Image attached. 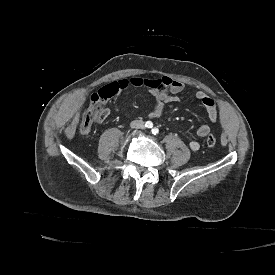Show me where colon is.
<instances>
[{
	"label": "colon",
	"instance_id": "colon-1",
	"mask_svg": "<svg viewBox=\"0 0 275 275\" xmlns=\"http://www.w3.org/2000/svg\"><path fill=\"white\" fill-rule=\"evenodd\" d=\"M107 113L108 108L104 104L98 103L97 101H95V99H93L92 104L89 106V108L82 116L80 122L81 130L84 132L90 131L92 123L97 120L104 119L107 116ZM206 142L208 146L212 147L216 143V138L210 135L207 137Z\"/></svg>",
	"mask_w": 275,
	"mask_h": 275
}]
</instances>
